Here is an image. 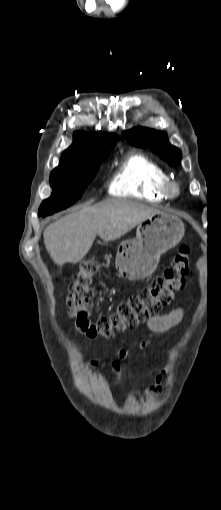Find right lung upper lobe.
<instances>
[{
    "instance_id": "obj_1",
    "label": "right lung upper lobe",
    "mask_w": 221,
    "mask_h": 510,
    "mask_svg": "<svg viewBox=\"0 0 221 510\" xmlns=\"http://www.w3.org/2000/svg\"><path fill=\"white\" fill-rule=\"evenodd\" d=\"M117 142L116 135L107 133H74L73 144L63 152L60 163H72L79 160L103 155Z\"/></svg>"
}]
</instances>
